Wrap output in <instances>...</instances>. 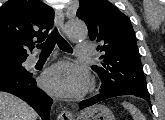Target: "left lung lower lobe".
I'll use <instances>...</instances> for the list:
<instances>
[{
  "mask_svg": "<svg viewBox=\"0 0 165 120\" xmlns=\"http://www.w3.org/2000/svg\"><path fill=\"white\" fill-rule=\"evenodd\" d=\"M120 95H135V94H124V93H103L101 92L100 94L92 97V98H89V99H86V100H83L80 104H79V108L80 109H84L88 106H91V105H94L95 103L99 102V101H102V100H105L107 98H111V97H116V96H120ZM135 96H138V97H141L143 99H145L149 105L151 106V103H150V97H147V96H142V95H135Z\"/></svg>",
  "mask_w": 165,
  "mask_h": 120,
  "instance_id": "1",
  "label": "left lung lower lobe"
}]
</instances>
